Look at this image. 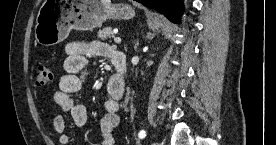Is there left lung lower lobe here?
<instances>
[{
  "label": "left lung lower lobe",
  "instance_id": "obj_1",
  "mask_svg": "<svg viewBox=\"0 0 276 145\" xmlns=\"http://www.w3.org/2000/svg\"><path fill=\"white\" fill-rule=\"evenodd\" d=\"M148 8L164 14L170 21L179 23V15L183 11L182 0H135Z\"/></svg>",
  "mask_w": 276,
  "mask_h": 145
}]
</instances>
